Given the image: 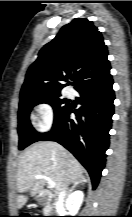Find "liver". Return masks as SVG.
<instances>
[{
    "instance_id": "6515ba94",
    "label": "liver",
    "mask_w": 132,
    "mask_h": 217,
    "mask_svg": "<svg viewBox=\"0 0 132 217\" xmlns=\"http://www.w3.org/2000/svg\"><path fill=\"white\" fill-rule=\"evenodd\" d=\"M84 168L64 147L56 142H38L28 147L22 154L17 170V208L21 209L28 197L38 194L44 187L45 179H35L45 175L55 182L54 191L59 194L70 183L83 176Z\"/></svg>"
}]
</instances>
